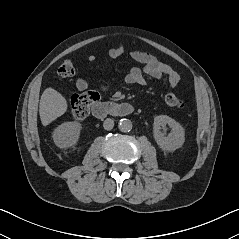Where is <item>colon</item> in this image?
I'll return each instance as SVG.
<instances>
[{
  "label": "colon",
  "instance_id": "5ec220e1",
  "mask_svg": "<svg viewBox=\"0 0 239 239\" xmlns=\"http://www.w3.org/2000/svg\"><path fill=\"white\" fill-rule=\"evenodd\" d=\"M75 74V66L72 61H64L58 68V75L62 78H68ZM99 100L98 93L88 91L73 96L71 100L72 115L76 120H84L90 112L92 104ZM166 104L175 109L184 107L183 102L173 93L165 96Z\"/></svg>",
  "mask_w": 239,
  "mask_h": 239
}]
</instances>
